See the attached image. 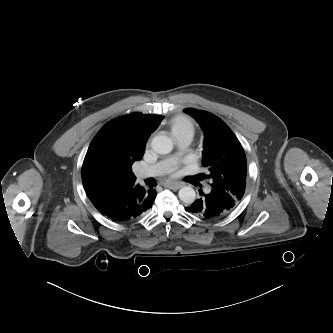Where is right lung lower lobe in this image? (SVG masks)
<instances>
[{
	"instance_id": "98d812e1",
	"label": "right lung lower lobe",
	"mask_w": 333,
	"mask_h": 333,
	"mask_svg": "<svg viewBox=\"0 0 333 333\" xmlns=\"http://www.w3.org/2000/svg\"><path fill=\"white\" fill-rule=\"evenodd\" d=\"M95 208L118 223L132 222L143 216L156 197L155 189H144L134 183H123L86 191Z\"/></svg>"
}]
</instances>
